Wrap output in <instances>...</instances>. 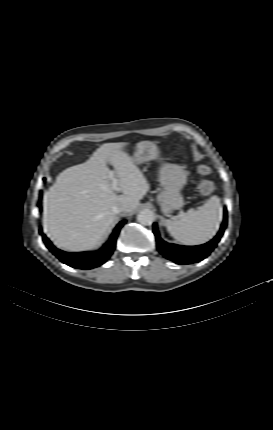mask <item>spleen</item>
I'll use <instances>...</instances> for the list:
<instances>
[{"mask_svg":"<svg viewBox=\"0 0 273 430\" xmlns=\"http://www.w3.org/2000/svg\"><path fill=\"white\" fill-rule=\"evenodd\" d=\"M222 215L218 196H211L207 202L173 219L166 220L170 235L185 245H199L209 241L217 232Z\"/></svg>","mask_w":273,"mask_h":430,"instance_id":"3e777b00","label":"spleen"}]
</instances>
